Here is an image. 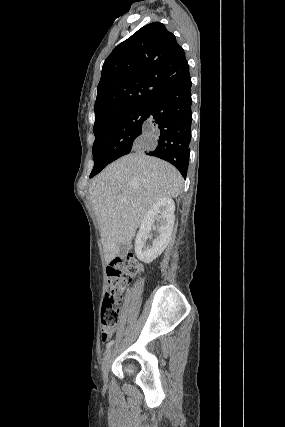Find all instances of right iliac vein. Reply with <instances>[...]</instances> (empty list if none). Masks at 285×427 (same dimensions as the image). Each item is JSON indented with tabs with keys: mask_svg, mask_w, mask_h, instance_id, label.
Listing matches in <instances>:
<instances>
[{
	"mask_svg": "<svg viewBox=\"0 0 285 427\" xmlns=\"http://www.w3.org/2000/svg\"><path fill=\"white\" fill-rule=\"evenodd\" d=\"M110 357H111V352L109 351L107 353V355L105 356L103 365H102V373H103V377L106 380L107 378V373L109 371V366H110Z\"/></svg>",
	"mask_w": 285,
	"mask_h": 427,
	"instance_id": "right-iliac-vein-1",
	"label": "right iliac vein"
}]
</instances>
